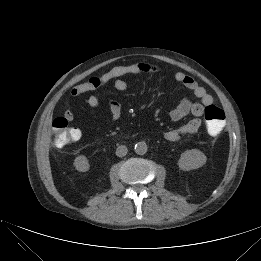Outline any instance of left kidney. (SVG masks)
Listing matches in <instances>:
<instances>
[{"instance_id":"1","label":"left kidney","mask_w":261,"mask_h":261,"mask_svg":"<svg viewBox=\"0 0 261 261\" xmlns=\"http://www.w3.org/2000/svg\"><path fill=\"white\" fill-rule=\"evenodd\" d=\"M207 161L206 155L198 149L184 151L178 160L181 170L189 171L202 167Z\"/></svg>"}]
</instances>
